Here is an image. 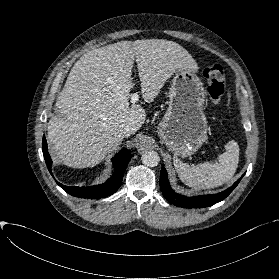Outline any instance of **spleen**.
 I'll list each match as a JSON object with an SVG mask.
<instances>
[{"instance_id":"3e777b00","label":"spleen","mask_w":279,"mask_h":279,"mask_svg":"<svg viewBox=\"0 0 279 279\" xmlns=\"http://www.w3.org/2000/svg\"><path fill=\"white\" fill-rule=\"evenodd\" d=\"M218 162H204L191 167L174 158V166L180 180L194 189H209L221 186L234 176L239 162V146L230 141Z\"/></svg>"}]
</instances>
